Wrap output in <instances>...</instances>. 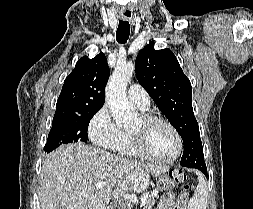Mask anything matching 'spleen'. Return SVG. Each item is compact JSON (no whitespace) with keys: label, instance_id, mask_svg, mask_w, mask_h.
<instances>
[{"label":"spleen","instance_id":"1","mask_svg":"<svg viewBox=\"0 0 253 209\" xmlns=\"http://www.w3.org/2000/svg\"><path fill=\"white\" fill-rule=\"evenodd\" d=\"M199 184L196 187L193 197L188 203V209H206L207 208V182L202 174L197 173Z\"/></svg>","mask_w":253,"mask_h":209}]
</instances>
